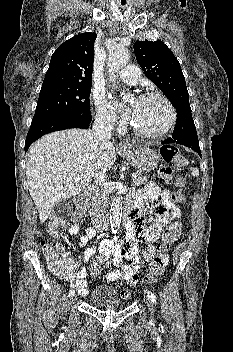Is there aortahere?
Listing matches in <instances>:
<instances>
[{
    "label": "aorta",
    "instance_id": "aorta-1",
    "mask_svg": "<svg viewBox=\"0 0 233 352\" xmlns=\"http://www.w3.org/2000/svg\"><path fill=\"white\" fill-rule=\"evenodd\" d=\"M130 59L129 51L124 47H117L109 51L107 67L112 82L116 81V73L128 63ZM129 96L124 95L123 98L127 99ZM123 209V197L121 192L118 191L113 198L110 208V226L113 234H116L120 228Z\"/></svg>",
    "mask_w": 233,
    "mask_h": 352
}]
</instances>
